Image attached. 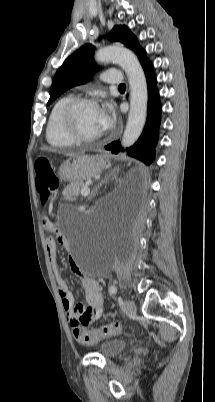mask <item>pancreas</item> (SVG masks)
Wrapping results in <instances>:
<instances>
[{
	"mask_svg": "<svg viewBox=\"0 0 215 402\" xmlns=\"http://www.w3.org/2000/svg\"><path fill=\"white\" fill-rule=\"evenodd\" d=\"M86 185L83 182L72 183L69 187L66 188L65 193L69 196L71 201L76 200V198L80 194V189L82 190Z\"/></svg>",
	"mask_w": 215,
	"mask_h": 402,
	"instance_id": "1",
	"label": "pancreas"
}]
</instances>
